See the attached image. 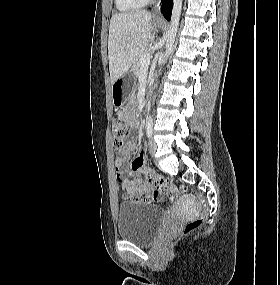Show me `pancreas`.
I'll use <instances>...</instances> for the list:
<instances>
[{
  "label": "pancreas",
  "instance_id": "obj_1",
  "mask_svg": "<svg viewBox=\"0 0 280 285\" xmlns=\"http://www.w3.org/2000/svg\"><path fill=\"white\" fill-rule=\"evenodd\" d=\"M151 51L149 48H146L134 61L133 66H132V71L135 76H138L141 70V64H140V58L142 56L150 55Z\"/></svg>",
  "mask_w": 280,
  "mask_h": 285
}]
</instances>
